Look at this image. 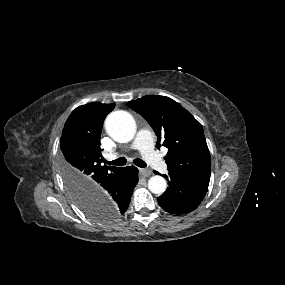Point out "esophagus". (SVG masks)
Wrapping results in <instances>:
<instances>
[{
	"instance_id": "34e87169",
	"label": "esophagus",
	"mask_w": 285,
	"mask_h": 285,
	"mask_svg": "<svg viewBox=\"0 0 285 285\" xmlns=\"http://www.w3.org/2000/svg\"><path fill=\"white\" fill-rule=\"evenodd\" d=\"M140 174L142 176L148 177L152 174V171L150 169L143 168V169H140Z\"/></svg>"
}]
</instances>
